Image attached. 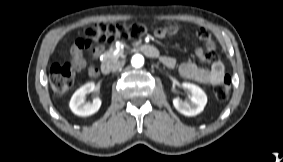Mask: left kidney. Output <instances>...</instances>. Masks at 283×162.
<instances>
[{"mask_svg": "<svg viewBox=\"0 0 283 162\" xmlns=\"http://www.w3.org/2000/svg\"><path fill=\"white\" fill-rule=\"evenodd\" d=\"M182 87L190 93L188 100L173 99L175 109L185 116H195L201 113L207 103L205 92L197 85L183 82Z\"/></svg>", "mask_w": 283, "mask_h": 162, "instance_id": "obj_1", "label": "left kidney"}]
</instances>
